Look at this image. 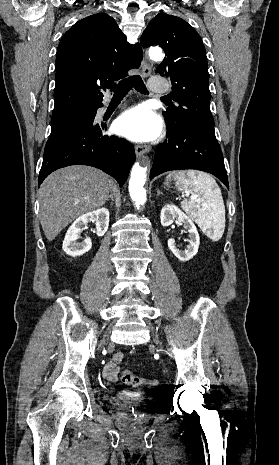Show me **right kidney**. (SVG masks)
<instances>
[{"mask_svg": "<svg viewBox=\"0 0 279 465\" xmlns=\"http://www.w3.org/2000/svg\"><path fill=\"white\" fill-rule=\"evenodd\" d=\"M88 222H96L97 236H103L109 226V211L106 208H100L92 212H88L78 217L67 230L63 241V250L66 254L75 257L81 256L88 252L92 247V241L89 237L79 243V233L87 225Z\"/></svg>", "mask_w": 279, "mask_h": 465, "instance_id": "ca27d5eb", "label": "right kidney"}]
</instances>
